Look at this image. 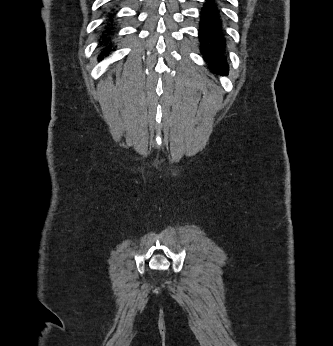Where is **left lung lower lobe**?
<instances>
[{
	"label": "left lung lower lobe",
	"mask_w": 333,
	"mask_h": 346,
	"mask_svg": "<svg viewBox=\"0 0 333 346\" xmlns=\"http://www.w3.org/2000/svg\"><path fill=\"white\" fill-rule=\"evenodd\" d=\"M199 21V41L203 58L221 70L228 73V63L225 56V31L223 29L222 12L216 0H206Z\"/></svg>",
	"instance_id": "1"
}]
</instances>
